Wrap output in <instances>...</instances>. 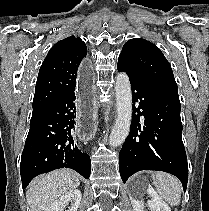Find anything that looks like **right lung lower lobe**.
<instances>
[{"mask_svg":"<svg viewBox=\"0 0 209 211\" xmlns=\"http://www.w3.org/2000/svg\"><path fill=\"white\" fill-rule=\"evenodd\" d=\"M74 100V91L65 94L41 109L30 121L20 164L23 189L35 176L58 168H71L89 178L90 157L74 141Z\"/></svg>","mask_w":209,"mask_h":211,"instance_id":"obj_1","label":"right lung lower lobe"}]
</instances>
